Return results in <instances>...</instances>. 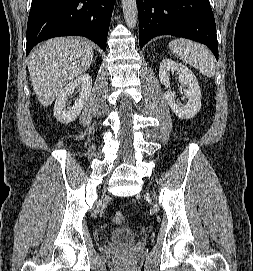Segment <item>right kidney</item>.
I'll return each instance as SVG.
<instances>
[{"label": "right kidney", "instance_id": "obj_1", "mask_svg": "<svg viewBox=\"0 0 253 271\" xmlns=\"http://www.w3.org/2000/svg\"><path fill=\"white\" fill-rule=\"evenodd\" d=\"M79 89V97L75 103L70 106L67 103L68 98L74 93V90ZM92 88V78L88 74H83L68 83L62 89L56 99L54 106V116L61 123H70L74 121L83 109Z\"/></svg>", "mask_w": 253, "mask_h": 271}]
</instances>
